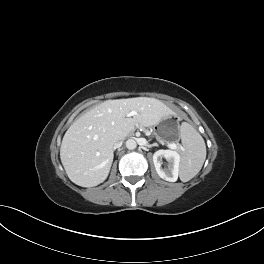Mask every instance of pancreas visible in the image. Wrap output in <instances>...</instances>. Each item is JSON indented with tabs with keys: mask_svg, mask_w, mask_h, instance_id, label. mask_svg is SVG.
Here are the masks:
<instances>
[{
	"mask_svg": "<svg viewBox=\"0 0 264 264\" xmlns=\"http://www.w3.org/2000/svg\"><path fill=\"white\" fill-rule=\"evenodd\" d=\"M144 132H145V133H148L149 131H148V130H146V129H144Z\"/></svg>",
	"mask_w": 264,
	"mask_h": 264,
	"instance_id": "1",
	"label": "pancreas"
}]
</instances>
